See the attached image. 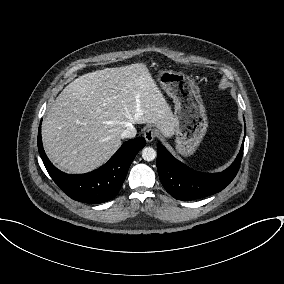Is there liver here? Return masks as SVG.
<instances>
[{"instance_id":"obj_1","label":"liver","mask_w":284,"mask_h":284,"mask_svg":"<svg viewBox=\"0 0 284 284\" xmlns=\"http://www.w3.org/2000/svg\"><path fill=\"white\" fill-rule=\"evenodd\" d=\"M142 123L174 134L173 113L147 66L106 68L79 76L58 95L43 121V145L59 169L86 173L116 152L127 127Z\"/></svg>"}]
</instances>
